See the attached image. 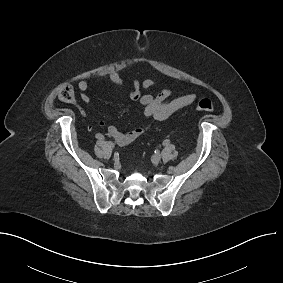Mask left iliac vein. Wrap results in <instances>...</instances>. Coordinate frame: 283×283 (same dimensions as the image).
Wrapping results in <instances>:
<instances>
[{"mask_svg": "<svg viewBox=\"0 0 283 283\" xmlns=\"http://www.w3.org/2000/svg\"><path fill=\"white\" fill-rule=\"evenodd\" d=\"M160 160H161L160 154H155V155L152 156L153 163L158 164L160 162Z\"/></svg>", "mask_w": 283, "mask_h": 283, "instance_id": "obj_1", "label": "left iliac vein"}]
</instances>
